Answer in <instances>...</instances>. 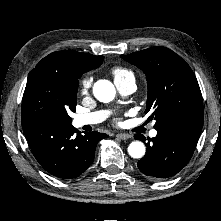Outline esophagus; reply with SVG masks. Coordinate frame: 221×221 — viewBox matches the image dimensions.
Here are the masks:
<instances>
[{"label":"esophagus","instance_id":"1","mask_svg":"<svg viewBox=\"0 0 221 221\" xmlns=\"http://www.w3.org/2000/svg\"><path fill=\"white\" fill-rule=\"evenodd\" d=\"M116 137L118 139H121V140H127L130 138V135L129 134H125V133H119L116 135Z\"/></svg>","mask_w":221,"mask_h":221}]
</instances>
